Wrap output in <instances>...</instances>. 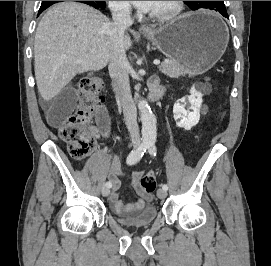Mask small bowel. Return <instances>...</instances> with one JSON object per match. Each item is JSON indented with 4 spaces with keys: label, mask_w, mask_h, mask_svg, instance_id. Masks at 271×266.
<instances>
[{
    "label": "small bowel",
    "mask_w": 271,
    "mask_h": 266,
    "mask_svg": "<svg viewBox=\"0 0 271 266\" xmlns=\"http://www.w3.org/2000/svg\"><path fill=\"white\" fill-rule=\"evenodd\" d=\"M76 101V94L73 89H65L52 99L47 105V115L49 122L57 126L60 121L72 110ZM92 133L94 137L107 135L109 132V117L105 110H102L97 117V125L93 127ZM143 171H135L129 176V180L135 186L136 193L139 198L132 202H123L120 200L119 188L122 183V176L116 166L109 171V178L112 182V190L110 193V202L117 212H129L142 210L147 202L152 201V193H146L138 186V181L143 175Z\"/></svg>",
    "instance_id": "obj_1"
}]
</instances>
